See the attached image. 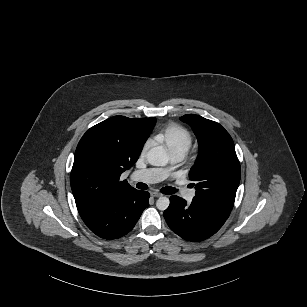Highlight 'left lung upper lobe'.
Returning <instances> with one entry per match:
<instances>
[{
  "label": "left lung upper lobe",
  "mask_w": 307,
  "mask_h": 307,
  "mask_svg": "<svg viewBox=\"0 0 307 307\" xmlns=\"http://www.w3.org/2000/svg\"><path fill=\"white\" fill-rule=\"evenodd\" d=\"M180 119L192 127L199 143L198 157L189 172L196 188L192 202L227 219L240 182L234 142L217 122L194 114Z\"/></svg>",
  "instance_id": "5c2ea615"
}]
</instances>
